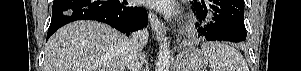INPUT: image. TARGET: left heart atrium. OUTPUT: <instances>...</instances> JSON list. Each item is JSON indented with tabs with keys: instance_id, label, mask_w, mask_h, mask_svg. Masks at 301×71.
Listing matches in <instances>:
<instances>
[{
	"instance_id": "left-heart-atrium-1",
	"label": "left heart atrium",
	"mask_w": 301,
	"mask_h": 71,
	"mask_svg": "<svg viewBox=\"0 0 301 71\" xmlns=\"http://www.w3.org/2000/svg\"><path fill=\"white\" fill-rule=\"evenodd\" d=\"M147 3L164 12L175 13L177 11V7L168 0H148Z\"/></svg>"
}]
</instances>
